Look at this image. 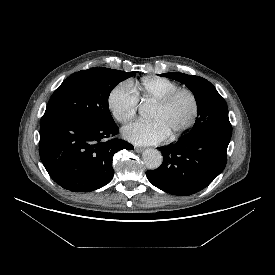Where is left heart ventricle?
I'll return each instance as SVG.
<instances>
[{"label": "left heart ventricle", "mask_w": 275, "mask_h": 275, "mask_svg": "<svg viewBox=\"0 0 275 275\" xmlns=\"http://www.w3.org/2000/svg\"><path fill=\"white\" fill-rule=\"evenodd\" d=\"M192 114V101L190 97L180 94L167 108L154 107L151 115L152 120H158L166 127L170 134L182 128Z\"/></svg>", "instance_id": "left-heart-ventricle-1"}]
</instances>
